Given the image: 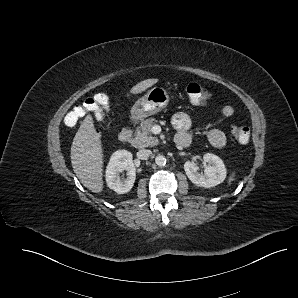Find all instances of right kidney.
<instances>
[{
	"mask_svg": "<svg viewBox=\"0 0 298 298\" xmlns=\"http://www.w3.org/2000/svg\"><path fill=\"white\" fill-rule=\"evenodd\" d=\"M132 158L131 152L124 149H117L109 156L105 168V182L117 194L128 192L134 184L135 166ZM122 171L126 172V179L119 177Z\"/></svg>",
	"mask_w": 298,
	"mask_h": 298,
	"instance_id": "obj_1",
	"label": "right kidney"
}]
</instances>
